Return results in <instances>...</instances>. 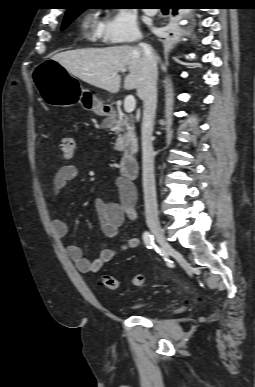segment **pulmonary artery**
<instances>
[{
    "mask_svg": "<svg viewBox=\"0 0 255 387\" xmlns=\"http://www.w3.org/2000/svg\"><path fill=\"white\" fill-rule=\"evenodd\" d=\"M157 9H146L145 12L148 14V15H155L157 13Z\"/></svg>",
    "mask_w": 255,
    "mask_h": 387,
    "instance_id": "1",
    "label": "pulmonary artery"
}]
</instances>
